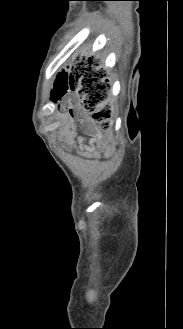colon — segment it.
Listing matches in <instances>:
<instances>
[{"label":"colon","mask_w":183,"mask_h":329,"mask_svg":"<svg viewBox=\"0 0 183 329\" xmlns=\"http://www.w3.org/2000/svg\"><path fill=\"white\" fill-rule=\"evenodd\" d=\"M91 67L97 68L98 73H111V66H100L97 56H92ZM80 57L78 61H61L59 67L60 73H71L72 76L65 74V81H54L49 91L55 93L51 96V103H64V109H87L94 113V119L98 121L103 129L110 126V111L103 108L106 99L109 83L101 81L97 73L90 67L82 63ZM99 67H109V72H99ZM70 79V81H68ZM79 95V96H78Z\"/></svg>","instance_id":"colon-1"}]
</instances>
